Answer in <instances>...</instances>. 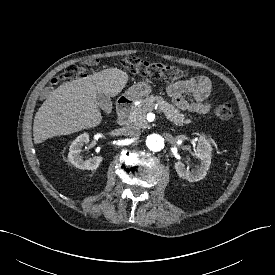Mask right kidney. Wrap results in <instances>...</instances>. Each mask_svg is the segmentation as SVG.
Segmentation results:
<instances>
[{
    "label": "right kidney",
    "mask_w": 275,
    "mask_h": 275,
    "mask_svg": "<svg viewBox=\"0 0 275 275\" xmlns=\"http://www.w3.org/2000/svg\"><path fill=\"white\" fill-rule=\"evenodd\" d=\"M89 142V134L83 133L79 135L70 145L68 160L76 168L85 170H96L100 163L103 161V157L95 156L89 158L88 160H83L81 153V148L84 144Z\"/></svg>",
    "instance_id": "ca27d5eb"
}]
</instances>
